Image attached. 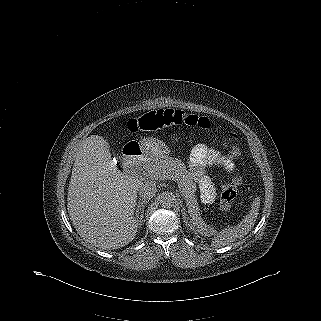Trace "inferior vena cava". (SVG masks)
Returning <instances> with one entry per match:
<instances>
[{
	"mask_svg": "<svg viewBox=\"0 0 321 321\" xmlns=\"http://www.w3.org/2000/svg\"><path fill=\"white\" fill-rule=\"evenodd\" d=\"M138 191H139V195H140V197H142V199L148 200V199H151L153 196H155V194L157 192V188L154 183L145 182L139 186Z\"/></svg>",
	"mask_w": 321,
	"mask_h": 321,
	"instance_id": "602c4592",
	"label": "inferior vena cava"
}]
</instances>
